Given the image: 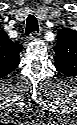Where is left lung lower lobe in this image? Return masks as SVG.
I'll return each mask as SVG.
<instances>
[{"label":"left lung lower lobe","mask_w":77,"mask_h":125,"mask_svg":"<svg viewBox=\"0 0 77 125\" xmlns=\"http://www.w3.org/2000/svg\"><path fill=\"white\" fill-rule=\"evenodd\" d=\"M57 70L63 73L64 75L70 76L76 73L74 67L66 66V65H58L56 66Z\"/></svg>","instance_id":"left-lung-lower-lobe-1"}]
</instances>
